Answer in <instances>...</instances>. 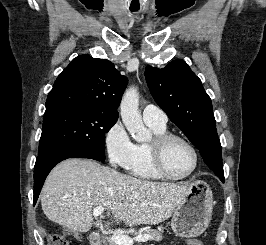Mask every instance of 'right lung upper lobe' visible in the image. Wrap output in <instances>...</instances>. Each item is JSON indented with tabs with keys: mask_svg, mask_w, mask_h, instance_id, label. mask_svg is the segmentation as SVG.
I'll return each mask as SVG.
<instances>
[{
	"mask_svg": "<svg viewBox=\"0 0 266 245\" xmlns=\"http://www.w3.org/2000/svg\"><path fill=\"white\" fill-rule=\"evenodd\" d=\"M126 85L127 78L110 61L80 55L56 79L44 117L77 108L118 115L116 109Z\"/></svg>",
	"mask_w": 266,
	"mask_h": 245,
	"instance_id": "right-lung-upper-lobe-1",
	"label": "right lung upper lobe"
}]
</instances>
